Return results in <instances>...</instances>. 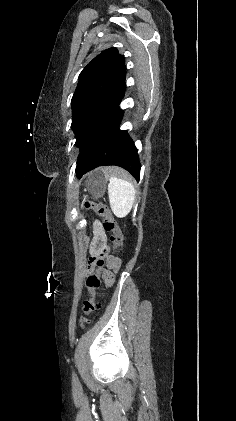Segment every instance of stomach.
<instances>
[{
	"label": "stomach",
	"mask_w": 236,
	"mask_h": 421,
	"mask_svg": "<svg viewBox=\"0 0 236 421\" xmlns=\"http://www.w3.org/2000/svg\"><path fill=\"white\" fill-rule=\"evenodd\" d=\"M106 180L107 178L101 170H93L91 174H88L86 186L94 198H101L103 196L106 188Z\"/></svg>",
	"instance_id": "obj_1"
}]
</instances>
